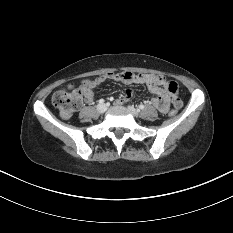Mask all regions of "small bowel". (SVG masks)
I'll list each match as a JSON object with an SVG mask.
<instances>
[{
  "label": "small bowel",
  "instance_id": "obj_1",
  "mask_svg": "<svg viewBox=\"0 0 233 233\" xmlns=\"http://www.w3.org/2000/svg\"><path fill=\"white\" fill-rule=\"evenodd\" d=\"M107 79L121 82L124 84H143L155 95L152 99V105L160 112L167 113L171 103L175 108H180L182 102L178 97L179 85L175 80H167L163 76L154 74L131 73V72H109L98 76L87 84L85 91V101L89 104L94 102L95 95L93 89L101 85ZM134 97L131 89H126L124 94L116 100V104L121 105Z\"/></svg>",
  "mask_w": 233,
  "mask_h": 233
}]
</instances>
